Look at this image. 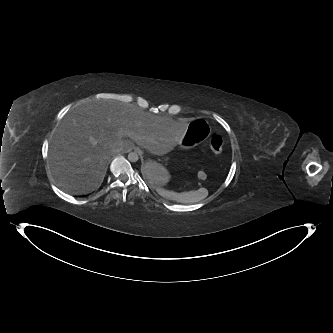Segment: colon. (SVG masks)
<instances>
[{"label":"colon","mask_w":333,"mask_h":333,"mask_svg":"<svg viewBox=\"0 0 333 333\" xmlns=\"http://www.w3.org/2000/svg\"><path fill=\"white\" fill-rule=\"evenodd\" d=\"M210 150L214 155H220L222 152L223 139L218 133H214L209 142ZM199 177L204 179L205 173L200 171L198 173Z\"/></svg>","instance_id":"colon-1"}]
</instances>
